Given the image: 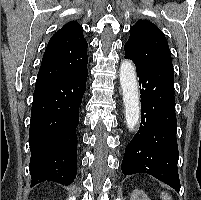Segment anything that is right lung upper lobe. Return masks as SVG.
<instances>
[{
	"label": "right lung upper lobe",
	"mask_w": 201,
	"mask_h": 200,
	"mask_svg": "<svg viewBox=\"0 0 201 200\" xmlns=\"http://www.w3.org/2000/svg\"><path fill=\"white\" fill-rule=\"evenodd\" d=\"M88 44L83 29L76 21L65 24L49 40L36 85H48L79 73L88 62Z\"/></svg>",
	"instance_id": "cb5924a9"
}]
</instances>
